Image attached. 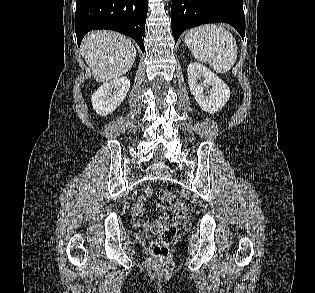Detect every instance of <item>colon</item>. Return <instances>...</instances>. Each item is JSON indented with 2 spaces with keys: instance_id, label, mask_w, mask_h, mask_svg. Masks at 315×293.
I'll use <instances>...</instances> for the list:
<instances>
[{
  "instance_id": "obj_1",
  "label": "colon",
  "mask_w": 315,
  "mask_h": 293,
  "mask_svg": "<svg viewBox=\"0 0 315 293\" xmlns=\"http://www.w3.org/2000/svg\"><path fill=\"white\" fill-rule=\"evenodd\" d=\"M157 196L160 200L166 201L178 212V220H183L186 212L185 204L173 193L159 189ZM157 236L150 243V251L153 257L159 261H165L169 257V246L175 238L177 228L174 223H167L161 230H156Z\"/></svg>"
}]
</instances>
